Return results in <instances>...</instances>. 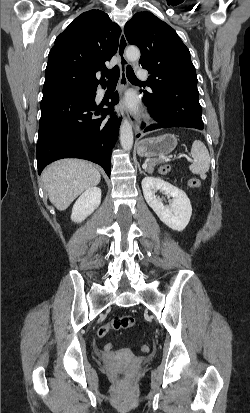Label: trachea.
I'll list each match as a JSON object with an SVG mask.
<instances>
[{
    "label": "trachea",
    "instance_id": "obj_1",
    "mask_svg": "<svg viewBox=\"0 0 250 413\" xmlns=\"http://www.w3.org/2000/svg\"><path fill=\"white\" fill-rule=\"evenodd\" d=\"M119 73L120 71L117 65L113 69L104 72L105 76L108 79V83H117L119 79ZM126 75L128 80L132 83H144L137 79L132 67L129 65L126 67Z\"/></svg>",
    "mask_w": 250,
    "mask_h": 413
}]
</instances>
